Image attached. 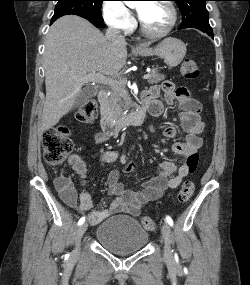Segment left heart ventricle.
I'll list each match as a JSON object with an SVG mask.
<instances>
[{"instance_id":"obj_1","label":"left heart ventricle","mask_w":250,"mask_h":285,"mask_svg":"<svg viewBox=\"0 0 250 285\" xmlns=\"http://www.w3.org/2000/svg\"><path fill=\"white\" fill-rule=\"evenodd\" d=\"M137 8L144 26L151 32H162L171 21V13L168 7L163 3H139Z\"/></svg>"}]
</instances>
